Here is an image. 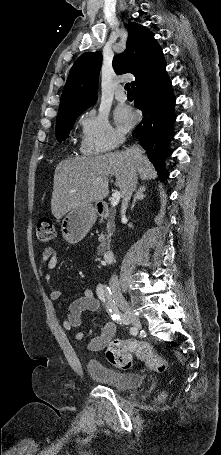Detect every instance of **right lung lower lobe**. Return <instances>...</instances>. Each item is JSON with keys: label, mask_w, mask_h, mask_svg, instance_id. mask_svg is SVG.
<instances>
[{"label": "right lung lower lobe", "mask_w": 221, "mask_h": 455, "mask_svg": "<svg viewBox=\"0 0 221 455\" xmlns=\"http://www.w3.org/2000/svg\"><path fill=\"white\" fill-rule=\"evenodd\" d=\"M163 53L153 61L133 85L134 106L143 113L135 133L155 166L161 181L167 180L165 158L171 154L168 143L174 136L175 97L166 72Z\"/></svg>", "instance_id": "right-lung-lower-lobe-1"}]
</instances>
